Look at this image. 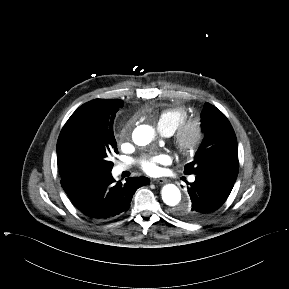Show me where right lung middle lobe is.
<instances>
[{"mask_svg":"<svg viewBox=\"0 0 289 289\" xmlns=\"http://www.w3.org/2000/svg\"><path fill=\"white\" fill-rule=\"evenodd\" d=\"M118 99H95L80 106L64 125L57 142L59 169L71 177L88 180L111 174L110 155L118 153L113 133Z\"/></svg>","mask_w":289,"mask_h":289,"instance_id":"1","label":"right lung middle lobe"}]
</instances>
